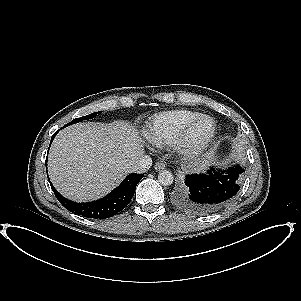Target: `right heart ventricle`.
Returning <instances> with one entry per match:
<instances>
[{
	"label": "right heart ventricle",
	"instance_id": "right-heart-ventricle-1",
	"mask_svg": "<svg viewBox=\"0 0 301 301\" xmlns=\"http://www.w3.org/2000/svg\"><path fill=\"white\" fill-rule=\"evenodd\" d=\"M199 115L201 114L198 112L185 109L157 113L145 128V137L156 146H168L173 143L182 129Z\"/></svg>",
	"mask_w": 301,
	"mask_h": 301
}]
</instances>
